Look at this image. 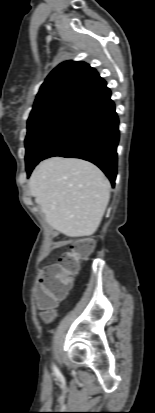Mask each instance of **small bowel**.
<instances>
[{
	"mask_svg": "<svg viewBox=\"0 0 155 413\" xmlns=\"http://www.w3.org/2000/svg\"><path fill=\"white\" fill-rule=\"evenodd\" d=\"M43 293H44V287H43V284H40V285L38 286V289H37V300H38L39 302L41 301V297H42ZM52 316H53V314L48 313V314H45L44 318H45V319H49V318H51Z\"/></svg>",
	"mask_w": 155,
	"mask_h": 413,
	"instance_id": "obj_1",
	"label": "small bowel"
}]
</instances>
